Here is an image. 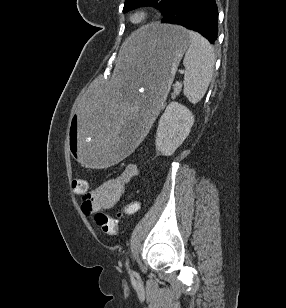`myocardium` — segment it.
I'll list each match as a JSON object with an SVG mask.
<instances>
[{"label":"myocardium","mask_w":286,"mask_h":308,"mask_svg":"<svg viewBox=\"0 0 286 308\" xmlns=\"http://www.w3.org/2000/svg\"><path fill=\"white\" fill-rule=\"evenodd\" d=\"M150 17V12L146 9L134 10L129 15V21L135 25H142L147 22Z\"/></svg>","instance_id":"myocardium-1"}]
</instances>
